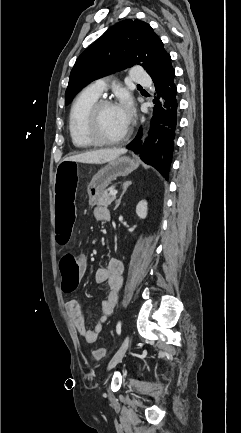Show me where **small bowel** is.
<instances>
[{"label": "small bowel", "mask_w": 241, "mask_h": 433, "mask_svg": "<svg viewBox=\"0 0 241 433\" xmlns=\"http://www.w3.org/2000/svg\"><path fill=\"white\" fill-rule=\"evenodd\" d=\"M93 214L94 218L98 221H105L110 218L109 210L105 206H96ZM78 265L80 272L84 273L87 269V260L85 256L82 255L78 258ZM122 273V262L116 258H110L105 266L99 267L96 270V283H107L108 293L101 302L102 316L94 327H87L85 318L82 315L76 300H68L65 303V310L75 329L89 344H94L97 341L103 323L114 311L122 286Z\"/></svg>", "instance_id": "c3829d8e"}]
</instances>
